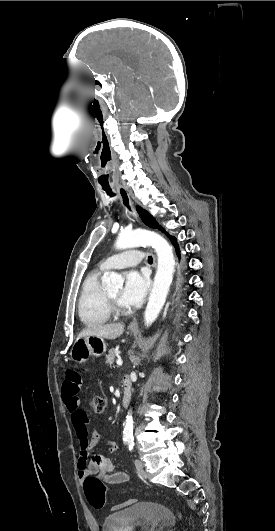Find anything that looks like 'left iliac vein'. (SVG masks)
<instances>
[{
    "mask_svg": "<svg viewBox=\"0 0 275 531\" xmlns=\"http://www.w3.org/2000/svg\"><path fill=\"white\" fill-rule=\"evenodd\" d=\"M134 463H135V467H136L137 474H138L141 478L146 479V478H147V475H146L145 471L143 470V463H142V461H140V460H135Z\"/></svg>",
    "mask_w": 275,
    "mask_h": 531,
    "instance_id": "1",
    "label": "left iliac vein"
}]
</instances>
